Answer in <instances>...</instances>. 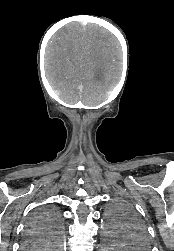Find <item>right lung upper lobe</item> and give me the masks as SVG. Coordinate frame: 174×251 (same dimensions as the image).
I'll return each instance as SVG.
<instances>
[{
  "label": "right lung upper lobe",
  "instance_id": "1",
  "mask_svg": "<svg viewBox=\"0 0 174 251\" xmlns=\"http://www.w3.org/2000/svg\"><path fill=\"white\" fill-rule=\"evenodd\" d=\"M39 238L33 235H27L25 238V248L31 249L33 245L40 244L41 242L38 240Z\"/></svg>",
  "mask_w": 174,
  "mask_h": 251
}]
</instances>
